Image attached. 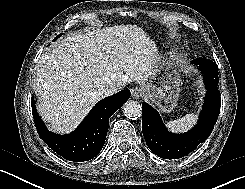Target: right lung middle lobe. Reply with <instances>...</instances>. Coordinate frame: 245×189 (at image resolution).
<instances>
[{
  "label": "right lung middle lobe",
  "instance_id": "obj_1",
  "mask_svg": "<svg viewBox=\"0 0 245 189\" xmlns=\"http://www.w3.org/2000/svg\"><path fill=\"white\" fill-rule=\"evenodd\" d=\"M59 36H61V34H60ZM59 36H57V37L55 38V40H56Z\"/></svg>",
  "mask_w": 245,
  "mask_h": 189
}]
</instances>
